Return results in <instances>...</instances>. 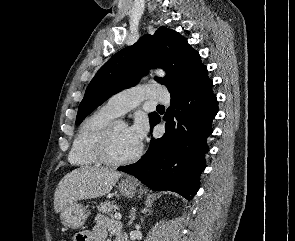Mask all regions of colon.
Wrapping results in <instances>:
<instances>
[{
    "instance_id": "colon-1",
    "label": "colon",
    "mask_w": 295,
    "mask_h": 241,
    "mask_svg": "<svg viewBox=\"0 0 295 241\" xmlns=\"http://www.w3.org/2000/svg\"><path fill=\"white\" fill-rule=\"evenodd\" d=\"M74 241H85L84 236H83V233L82 232L78 233L75 236Z\"/></svg>"
}]
</instances>
